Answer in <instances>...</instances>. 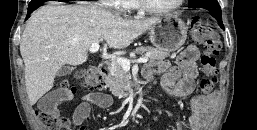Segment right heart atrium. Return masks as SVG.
Returning <instances> with one entry per match:
<instances>
[{"label":"right heart atrium","instance_id":"right-heart-atrium-1","mask_svg":"<svg viewBox=\"0 0 257 130\" xmlns=\"http://www.w3.org/2000/svg\"><path fill=\"white\" fill-rule=\"evenodd\" d=\"M124 0H100V4L105 7L114 9H121L123 7Z\"/></svg>","mask_w":257,"mask_h":130}]
</instances>
